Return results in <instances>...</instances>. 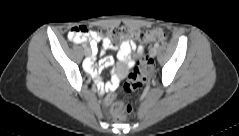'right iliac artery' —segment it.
I'll return each instance as SVG.
<instances>
[{"label":"right iliac artery","instance_id":"obj_1","mask_svg":"<svg viewBox=\"0 0 239 136\" xmlns=\"http://www.w3.org/2000/svg\"><path fill=\"white\" fill-rule=\"evenodd\" d=\"M88 45L86 43H82V48H86Z\"/></svg>","mask_w":239,"mask_h":136}]
</instances>
